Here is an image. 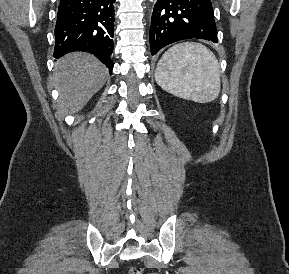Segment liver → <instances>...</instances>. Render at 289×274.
I'll return each instance as SVG.
<instances>
[{
    "mask_svg": "<svg viewBox=\"0 0 289 274\" xmlns=\"http://www.w3.org/2000/svg\"><path fill=\"white\" fill-rule=\"evenodd\" d=\"M107 68L93 55L66 54L55 63L53 81L59 92V113L75 114L105 84Z\"/></svg>",
    "mask_w": 289,
    "mask_h": 274,
    "instance_id": "6515ba94",
    "label": "liver"
}]
</instances>
